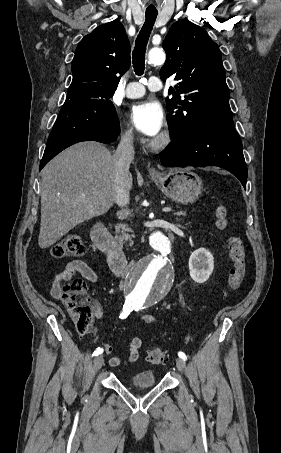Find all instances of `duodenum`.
Here are the masks:
<instances>
[{
	"label": "duodenum",
	"mask_w": 281,
	"mask_h": 453,
	"mask_svg": "<svg viewBox=\"0 0 281 453\" xmlns=\"http://www.w3.org/2000/svg\"><path fill=\"white\" fill-rule=\"evenodd\" d=\"M92 240L97 248L107 255L112 272L117 276L123 275L128 268L127 258L103 223L94 226Z\"/></svg>",
	"instance_id": "obj_1"
}]
</instances>
